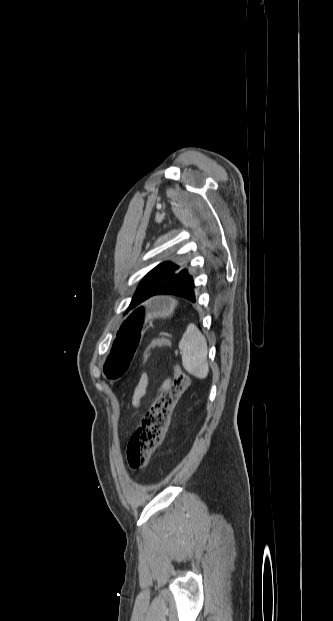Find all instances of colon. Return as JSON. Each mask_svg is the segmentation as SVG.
Returning a JSON list of instances; mask_svg holds the SVG:
<instances>
[{
  "mask_svg": "<svg viewBox=\"0 0 333 621\" xmlns=\"http://www.w3.org/2000/svg\"><path fill=\"white\" fill-rule=\"evenodd\" d=\"M165 344L162 339L153 341L145 351L143 360H146L151 348ZM189 385L188 375L176 365L174 380L152 403L128 441L126 456L132 470H141L147 466L152 453L163 440L174 407Z\"/></svg>",
  "mask_w": 333,
  "mask_h": 621,
  "instance_id": "5ec220e1",
  "label": "colon"
}]
</instances>
